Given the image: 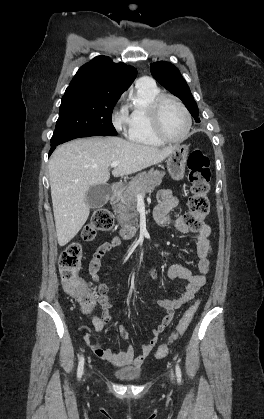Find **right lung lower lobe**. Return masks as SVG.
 Returning <instances> with one entry per match:
<instances>
[{"instance_id": "obj_1", "label": "right lung lower lobe", "mask_w": 264, "mask_h": 419, "mask_svg": "<svg viewBox=\"0 0 264 419\" xmlns=\"http://www.w3.org/2000/svg\"><path fill=\"white\" fill-rule=\"evenodd\" d=\"M89 136H107V135H101V134H95V133H84V134H80V135H76V136H74V137H71V138H69V139H67V140L63 141L62 143L67 142V141L72 140V139H75V138H80V137H89ZM60 144H61V143H60ZM58 145H59V144H58ZM56 146H57V145H52V146H51V149H50V151H49V155H51V153L54 151V149L56 148Z\"/></svg>"}]
</instances>
